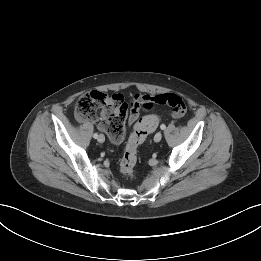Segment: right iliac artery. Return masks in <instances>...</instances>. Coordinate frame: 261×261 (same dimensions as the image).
Listing matches in <instances>:
<instances>
[{
  "mask_svg": "<svg viewBox=\"0 0 261 261\" xmlns=\"http://www.w3.org/2000/svg\"><path fill=\"white\" fill-rule=\"evenodd\" d=\"M93 137H94L95 139H97V138H98V134H97V133H94Z\"/></svg>",
  "mask_w": 261,
  "mask_h": 261,
  "instance_id": "82829eb1",
  "label": "right iliac artery"
}]
</instances>
